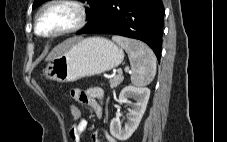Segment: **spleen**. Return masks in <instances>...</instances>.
<instances>
[{
	"mask_svg": "<svg viewBox=\"0 0 227 142\" xmlns=\"http://www.w3.org/2000/svg\"><path fill=\"white\" fill-rule=\"evenodd\" d=\"M112 40L125 49L131 65V82L141 87L150 84L156 74V57L153 51L143 42L113 36Z\"/></svg>",
	"mask_w": 227,
	"mask_h": 142,
	"instance_id": "1",
	"label": "spleen"
}]
</instances>
